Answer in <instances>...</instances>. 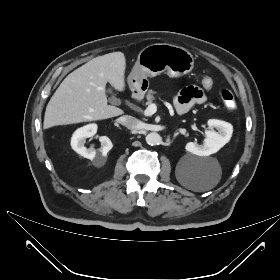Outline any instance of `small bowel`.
Returning a JSON list of instances; mask_svg holds the SVG:
<instances>
[{"mask_svg": "<svg viewBox=\"0 0 280 280\" xmlns=\"http://www.w3.org/2000/svg\"><path fill=\"white\" fill-rule=\"evenodd\" d=\"M207 97L203 90L190 86L184 89L175 99V107L178 113L189 111L194 105L202 104Z\"/></svg>", "mask_w": 280, "mask_h": 280, "instance_id": "c3829d8e", "label": "small bowel"}]
</instances>
